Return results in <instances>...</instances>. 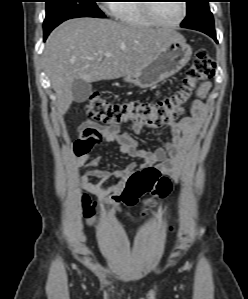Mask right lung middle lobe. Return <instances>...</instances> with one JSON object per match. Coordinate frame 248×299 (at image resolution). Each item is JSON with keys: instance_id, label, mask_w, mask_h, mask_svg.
I'll list each match as a JSON object with an SVG mask.
<instances>
[{"instance_id": "obj_1", "label": "right lung middle lobe", "mask_w": 248, "mask_h": 299, "mask_svg": "<svg viewBox=\"0 0 248 299\" xmlns=\"http://www.w3.org/2000/svg\"><path fill=\"white\" fill-rule=\"evenodd\" d=\"M96 0H46V17L43 23L44 39L60 23L76 17L105 18Z\"/></svg>"}]
</instances>
